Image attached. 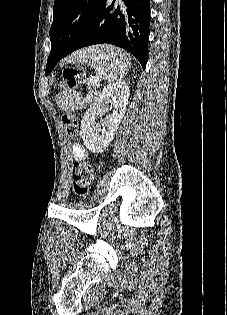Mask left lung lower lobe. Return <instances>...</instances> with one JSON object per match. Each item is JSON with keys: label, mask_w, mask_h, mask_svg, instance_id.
I'll return each instance as SVG.
<instances>
[{"label": "left lung lower lobe", "mask_w": 227, "mask_h": 315, "mask_svg": "<svg viewBox=\"0 0 227 315\" xmlns=\"http://www.w3.org/2000/svg\"><path fill=\"white\" fill-rule=\"evenodd\" d=\"M104 0L92 21L68 48L60 49L59 42H51L52 49L46 66L48 75L57 62L73 51L93 44H113L133 54L145 69L148 57L150 0Z\"/></svg>", "instance_id": "obj_1"}]
</instances>
